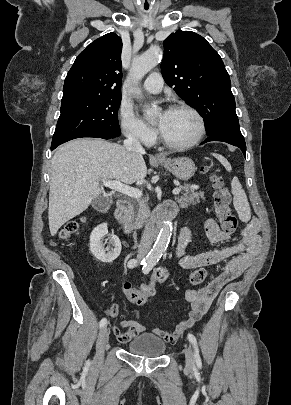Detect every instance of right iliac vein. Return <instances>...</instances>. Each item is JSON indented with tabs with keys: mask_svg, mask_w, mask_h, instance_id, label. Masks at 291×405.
I'll return each instance as SVG.
<instances>
[{
	"mask_svg": "<svg viewBox=\"0 0 291 405\" xmlns=\"http://www.w3.org/2000/svg\"><path fill=\"white\" fill-rule=\"evenodd\" d=\"M109 338V330L107 327H103L99 333V337L97 340V357L101 359L104 352L105 344L107 343Z\"/></svg>",
	"mask_w": 291,
	"mask_h": 405,
	"instance_id": "63e3f726",
	"label": "right iliac vein"
}]
</instances>
